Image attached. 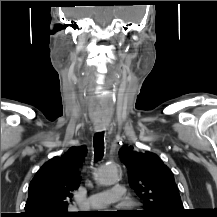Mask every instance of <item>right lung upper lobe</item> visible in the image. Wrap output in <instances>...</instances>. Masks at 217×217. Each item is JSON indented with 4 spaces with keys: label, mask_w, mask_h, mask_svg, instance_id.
Here are the masks:
<instances>
[{
    "label": "right lung upper lobe",
    "mask_w": 217,
    "mask_h": 217,
    "mask_svg": "<svg viewBox=\"0 0 217 217\" xmlns=\"http://www.w3.org/2000/svg\"><path fill=\"white\" fill-rule=\"evenodd\" d=\"M86 152L84 146L72 147L62 156L50 159L39 169L29 185L23 217L74 214L68 212L67 207L72 192L80 185L78 168L82 165Z\"/></svg>",
    "instance_id": "obj_1"
}]
</instances>
